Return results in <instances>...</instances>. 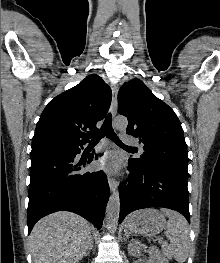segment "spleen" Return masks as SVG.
I'll return each mask as SVG.
<instances>
[{
  "mask_svg": "<svg viewBox=\"0 0 220 263\" xmlns=\"http://www.w3.org/2000/svg\"><path fill=\"white\" fill-rule=\"evenodd\" d=\"M161 211L169 218L165 231L170 241L167 252L177 262L183 263L188 258L190 247L188 223L181 214L175 211L165 208L161 209Z\"/></svg>",
  "mask_w": 220,
  "mask_h": 263,
  "instance_id": "spleen-1",
  "label": "spleen"
}]
</instances>
